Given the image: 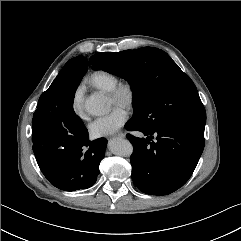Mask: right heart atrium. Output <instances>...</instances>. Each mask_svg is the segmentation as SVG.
I'll return each instance as SVG.
<instances>
[{"label":"right heart atrium","instance_id":"1","mask_svg":"<svg viewBox=\"0 0 241 241\" xmlns=\"http://www.w3.org/2000/svg\"><path fill=\"white\" fill-rule=\"evenodd\" d=\"M72 108L78 116L83 115V90L81 87L77 88L72 100Z\"/></svg>","mask_w":241,"mask_h":241}]
</instances>
